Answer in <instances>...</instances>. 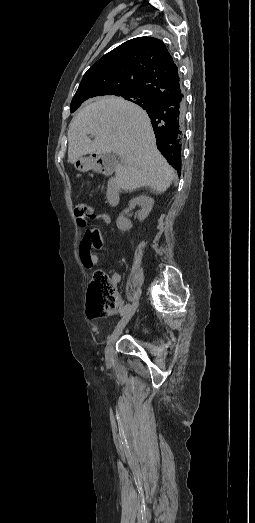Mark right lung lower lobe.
Returning a JSON list of instances; mask_svg holds the SVG:
<instances>
[{"label": "right lung lower lobe", "instance_id": "obj_1", "mask_svg": "<svg viewBox=\"0 0 255 523\" xmlns=\"http://www.w3.org/2000/svg\"><path fill=\"white\" fill-rule=\"evenodd\" d=\"M179 105L180 100L173 98L165 103H160L152 111L156 130L153 133V140L164 146V152L167 155H174L181 150V142L178 139H172L180 135V126L177 118ZM178 173L180 174V171Z\"/></svg>", "mask_w": 255, "mask_h": 523}]
</instances>
